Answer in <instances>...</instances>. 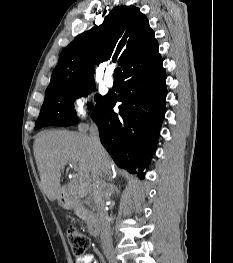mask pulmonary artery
<instances>
[{"instance_id":"obj_1","label":"pulmonary artery","mask_w":233,"mask_h":263,"mask_svg":"<svg viewBox=\"0 0 233 263\" xmlns=\"http://www.w3.org/2000/svg\"><path fill=\"white\" fill-rule=\"evenodd\" d=\"M104 83L107 87H112L114 84V80L112 78V70L108 69L104 78Z\"/></svg>"}]
</instances>
